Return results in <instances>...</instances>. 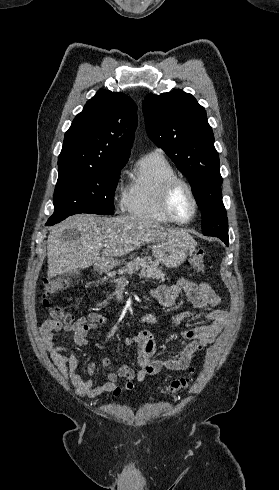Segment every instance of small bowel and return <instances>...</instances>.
Instances as JSON below:
<instances>
[{"instance_id":"c3829d8e","label":"small bowel","mask_w":279,"mask_h":490,"mask_svg":"<svg viewBox=\"0 0 279 490\" xmlns=\"http://www.w3.org/2000/svg\"><path fill=\"white\" fill-rule=\"evenodd\" d=\"M182 292L186 294L189 301L196 308L205 311L208 323L184 330L182 336L188 340V343L179 353L171 354L164 360L153 359L156 345L151 330L143 329L137 335L127 337L124 340V345H135L138 348L140 370L137 374L129 366H122L117 371H114L111 360L105 358L101 361V366L106 374L107 381L102 385L95 386L91 378L96 370L95 362H90L88 365L90 377L82 378L77 373L79 366L77 356L67 347L58 343L57 334L64 332L72 334L73 341L78 347L86 346L88 332L107 320L106 315L100 312H92L73 323H62L53 319H45L39 328L41 343L48 351L58 370L70 381L72 387L79 395L88 398H95L103 393L119 395L133 388L132 381L135 378L142 381L147 375L155 374L162 370L187 369L196 355L205 346L211 344L227 324L228 313L218 308L222 299L206 283H195L186 278H181L172 286H159L151 289L150 296L160 305L171 307ZM194 316V312H182L174 316L171 323L173 326H178L184 320ZM140 321L144 325H155L159 322V317L156 314L145 312L141 315ZM121 379L125 380V382L119 384Z\"/></svg>"}]
</instances>
